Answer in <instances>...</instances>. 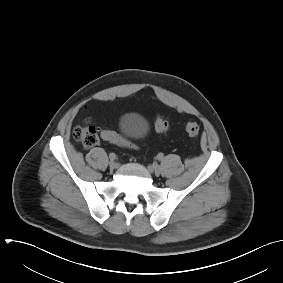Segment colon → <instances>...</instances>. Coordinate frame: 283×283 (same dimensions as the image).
I'll return each instance as SVG.
<instances>
[{
	"label": "colon",
	"mask_w": 283,
	"mask_h": 283,
	"mask_svg": "<svg viewBox=\"0 0 283 283\" xmlns=\"http://www.w3.org/2000/svg\"><path fill=\"white\" fill-rule=\"evenodd\" d=\"M154 127L155 130L161 134H166L170 129L168 122L159 115L154 119ZM184 130L190 137L196 138L200 133V125L197 122L189 121L185 123ZM73 138L85 148L95 146L99 138L113 145L131 148V145L116 132L104 129L99 133L98 129L90 125L88 120L73 129Z\"/></svg>",
	"instance_id": "5ec220e1"
}]
</instances>
